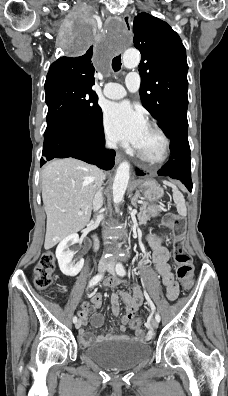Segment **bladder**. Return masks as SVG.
I'll use <instances>...</instances> for the list:
<instances>
[{"label": "bladder", "mask_w": 228, "mask_h": 396, "mask_svg": "<svg viewBox=\"0 0 228 396\" xmlns=\"http://www.w3.org/2000/svg\"><path fill=\"white\" fill-rule=\"evenodd\" d=\"M83 354L106 369L127 370L149 360L151 347L140 341L116 338L91 345Z\"/></svg>", "instance_id": "31cf9c89"}]
</instances>
